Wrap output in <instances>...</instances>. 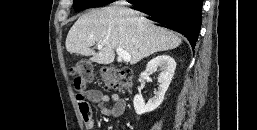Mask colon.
<instances>
[{"instance_id": "colon-1", "label": "colon", "mask_w": 257, "mask_h": 130, "mask_svg": "<svg viewBox=\"0 0 257 130\" xmlns=\"http://www.w3.org/2000/svg\"><path fill=\"white\" fill-rule=\"evenodd\" d=\"M70 73L77 91H81L94 78L92 66L85 61L75 63L70 68ZM101 78L108 91L125 93L132 87V72L127 68L106 67L101 72ZM78 96L82 97V94L79 92Z\"/></svg>"}]
</instances>
